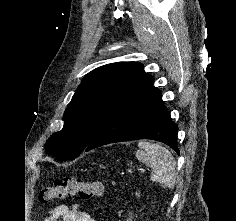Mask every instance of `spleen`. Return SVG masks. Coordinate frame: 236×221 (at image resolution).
I'll return each mask as SVG.
<instances>
[{
    "instance_id": "3e777b00",
    "label": "spleen",
    "mask_w": 236,
    "mask_h": 221,
    "mask_svg": "<svg viewBox=\"0 0 236 221\" xmlns=\"http://www.w3.org/2000/svg\"><path fill=\"white\" fill-rule=\"evenodd\" d=\"M138 147L136 157L152 168L151 180L173 188L176 182V165L171 152L159 144L147 141H139Z\"/></svg>"
}]
</instances>
